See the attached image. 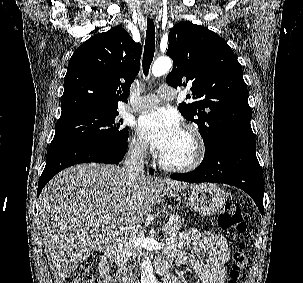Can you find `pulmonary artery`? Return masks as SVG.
Here are the masks:
<instances>
[{"instance_id": "obj_1", "label": "pulmonary artery", "mask_w": 303, "mask_h": 283, "mask_svg": "<svg viewBox=\"0 0 303 283\" xmlns=\"http://www.w3.org/2000/svg\"><path fill=\"white\" fill-rule=\"evenodd\" d=\"M175 95V90L172 87L168 85L160 86L157 90V93L148 94L141 97L135 104V106H133L132 108L128 107V109L132 111H139L146 108H151L158 104L160 101L172 100Z\"/></svg>"}]
</instances>
